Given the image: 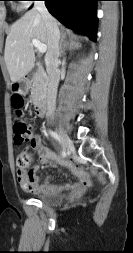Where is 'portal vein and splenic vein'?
<instances>
[{
	"label": "portal vein and splenic vein",
	"instance_id": "1",
	"mask_svg": "<svg viewBox=\"0 0 133 253\" xmlns=\"http://www.w3.org/2000/svg\"><path fill=\"white\" fill-rule=\"evenodd\" d=\"M32 44L38 49L40 53H45L47 50V46L37 39H32Z\"/></svg>",
	"mask_w": 133,
	"mask_h": 253
}]
</instances>
